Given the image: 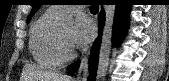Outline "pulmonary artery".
Returning a JSON list of instances; mask_svg holds the SVG:
<instances>
[{
    "label": "pulmonary artery",
    "mask_w": 169,
    "mask_h": 81,
    "mask_svg": "<svg viewBox=\"0 0 169 81\" xmlns=\"http://www.w3.org/2000/svg\"><path fill=\"white\" fill-rule=\"evenodd\" d=\"M51 8L56 10V11H58L59 13H61V12H63V11L68 9L66 6H53Z\"/></svg>",
    "instance_id": "obj_1"
}]
</instances>
